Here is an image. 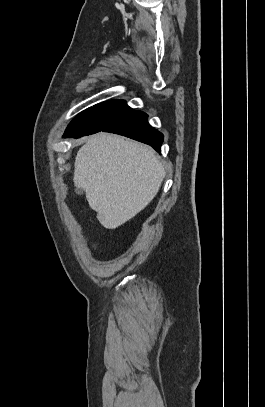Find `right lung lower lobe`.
<instances>
[{"mask_svg": "<svg viewBox=\"0 0 265 407\" xmlns=\"http://www.w3.org/2000/svg\"><path fill=\"white\" fill-rule=\"evenodd\" d=\"M104 132L120 134L134 140L146 143L160 152L163 135L147 122V114L142 111H133L126 117L103 129ZM63 137H75L63 135Z\"/></svg>", "mask_w": 265, "mask_h": 407, "instance_id": "1", "label": "right lung lower lobe"}]
</instances>
